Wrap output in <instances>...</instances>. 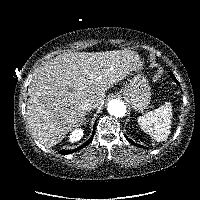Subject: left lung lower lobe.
<instances>
[{
  "mask_svg": "<svg viewBox=\"0 0 200 200\" xmlns=\"http://www.w3.org/2000/svg\"><path fill=\"white\" fill-rule=\"evenodd\" d=\"M169 74H170V76L173 78V80H174L177 84H179L178 81H177V79H176L175 76L173 75V73L169 72ZM126 139H127L131 144H133V145H135V146L143 147V146H141V145H138V144L134 143V142H133L132 140H130L128 137H126Z\"/></svg>",
  "mask_w": 200,
  "mask_h": 200,
  "instance_id": "0a47b994",
  "label": "left lung lower lobe"
}]
</instances>
